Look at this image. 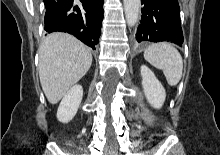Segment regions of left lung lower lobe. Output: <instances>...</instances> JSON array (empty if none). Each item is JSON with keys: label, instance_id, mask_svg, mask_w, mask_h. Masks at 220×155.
<instances>
[{"label": "left lung lower lobe", "instance_id": "1", "mask_svg": "<svg viewBox=\"0 0 220 155\" xmlns=\"http://www.w3.org/2000/svg\"><path fill=\"white\" fill-rule=\"evenodd\" d=\"M141 4L144 6L136 33L137 42L171 41L182 46L178 0H141Z\"/></svg>", "mask_w": 220, "mask_h": 155}]
</instances>
